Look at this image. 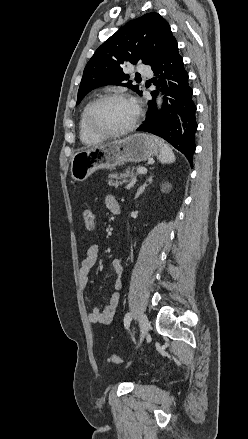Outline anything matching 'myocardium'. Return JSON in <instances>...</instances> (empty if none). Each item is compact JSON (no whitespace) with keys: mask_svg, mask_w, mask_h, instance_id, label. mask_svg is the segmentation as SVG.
<instances>
[{"mask_svg":"<svg viewBox=\"0 0 248 439\" xmlns=\"http://www.w3.org/2000/svg\"><path fill=\"white\" fill-rule=\"evenodd\" d=\"M108 100H127L132 102L136 107V115L132 123L124 129L121 130H107L100 127L95 121V112L96 109L104 102ZM141 111L139 107L134 103V101L128 96L122 93H106L95 99L90 106L88 107L86 113V122L89 130L99 136L102 137H115V136H124L136 129L139 123Z\"/></svg>","mask_w":248,"mask_h":439,"instance_id":"1","label":"myocardium"}]
</instances>
